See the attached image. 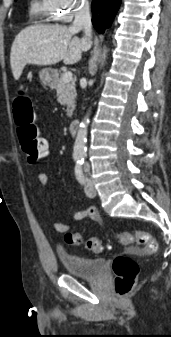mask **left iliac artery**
Returning a JSON list of instances; mask_svg holds the SVG:
<instances>
[{"mask_svg":"<svg viewBox=\"0 0 171 337\" xmlns=\"http://www.w3.org/2000/svg\"><path fill=\"white\" fill-rule=\"evenodd\" d=\"M84 159L83 158H79L76 161V166H75V175L77 180L80 183H83L84 181V177H83V173H82V165H83Z\"/></svg>","mask_w":171,"mask_h":337,"instance_id":"left-iliac-artery-1","label":"left iliac artery"}]
</instances>
